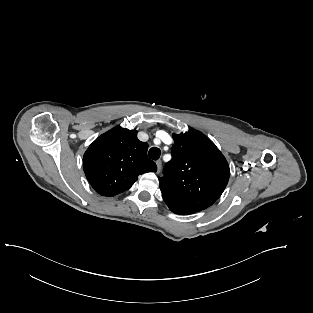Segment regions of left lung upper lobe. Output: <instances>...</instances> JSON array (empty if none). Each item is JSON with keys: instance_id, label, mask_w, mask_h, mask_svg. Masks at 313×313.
<instances>
[{"instance_id": "left-lung-upper-lobe-1", "label": "left lung upper lobe", "mask_w": 313, "mask_h": 313, "mask_svg": "<svg viewBox=\"0 0 313 313\" xmlns=\"http://www.w3.org/2000/svg\"><path fill=\"white\" fill-rule=\"evenodd\" d=\"M172 160L159 177L163 197L201 211L227 186L229 165L215 144L199 131L173 134Z\"/></svg>"}]
</instances>
